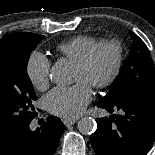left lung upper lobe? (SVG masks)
I'll list each match as a JSON object with an SVG mask.
<instances>
[{
    "label": "left lung upper lobe",
    "instance_id": "left-lung-upper-lobe-1",
    "mask_svg": "<svg viewBox=\"0 0 155 155\" xmlns=\"http://www.w3.org/2000/svg\"><path fill=\"white\" fill-rule=\"evenodd\" d=\"M130 37L133 41L129 56L103 102H113L138 89L155 86V68L147 46L132 31Z\"/></svg>",
    "mask_w": 155,
    "mask_h": 155
}]
</instances>
